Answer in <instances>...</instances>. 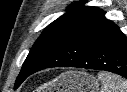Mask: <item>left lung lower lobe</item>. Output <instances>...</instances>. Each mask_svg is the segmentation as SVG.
Instances as JSON below:
<instances>
[{
	"label": "left lung lower lobe",
	"mask_w": 127,
	"mask_h": 92,
	"mask_svg": "<svg viewBox=\"0 0 127 92\" xmlns=\"http://www.w3.org/2000/svg\"><path fill=\"white\" fill-rule=\"evenodd\" d=\"M52 67L105 70L127 78V39L118 26L103 19L55 50L32 74Z\"/></svg>",
	"instance_id": "obj_1"
}]
</instances>
